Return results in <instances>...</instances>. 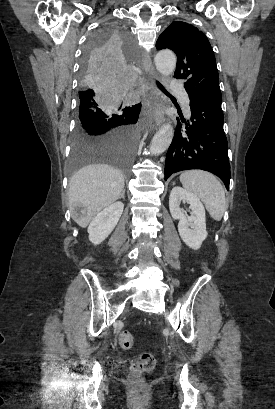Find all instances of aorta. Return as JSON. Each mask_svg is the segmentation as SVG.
<instances>
[{
  "label": "aorta",
  "instance_id": "aorta-1",
  "mask_svg": "<svg viewBox=\"0 0 275 409\" xmlns=\"http://www.w3.org/2000/svg\"><path fill=\"white\" fill-rule=\"evenodd\" d=\"M155 66L161 74H171L176 66V54L172 50H159L154 58ZM174 136V128L171 124H163L158 132L154 134L151 144V154H161L167 150Z\"/></svg>",
  "mask_w": 275,
  "mask_h": 409
}]
</instances>
